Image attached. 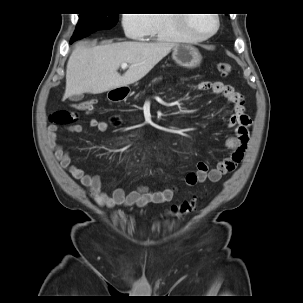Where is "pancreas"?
Returning <instances> with one entry per match:
<instances>
[{
  "mask_svg": "<svg viewBox=\"0 0 303 303\" xmlns=\"http://www.w3.org/2000/svg\"><path fill=\"white\" fill-rule=\"evenodd\" d=\"M161 79H162L161 77H159V78H155L154 80H152V84H154V83H156V82L160 81ZM150 85H151V84H150ZM150 85H149V86H150ZM144 92H145V91L141 92V94H144ZM138 96H139V95H136L134 99H137V98H138Z\"/></svg>",
  "mask_w": 303,
  "mask_h": 303,
  "instance_id": "pancreas-1",
  "label": "pancreas"
}]
</instances>
